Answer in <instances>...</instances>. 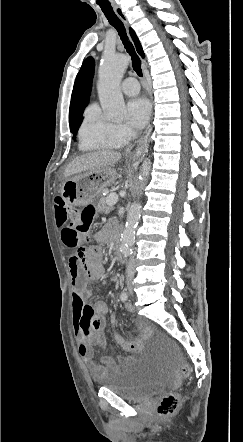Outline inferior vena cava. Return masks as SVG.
Returning <instances> with one entry per match:
<instances>
[{
	"instance_id": "1",
	"label": "inferior vena cava",
	"mask_w": 243,
	"mask_h": 442,
	"mask_svg": "<svg viewBox=\"0 0 243 442\" xmlns=\"http://www.w3.org/2000/svg\"><path fill=\"white\" fill-rule=\"evenodd\" d=\"M126 272H127V278L128 279H132L133 276H134V273H135V259H134V256H132L130 258V260L128 262V265H127Z\"/></svg>"
}]
</instances>
